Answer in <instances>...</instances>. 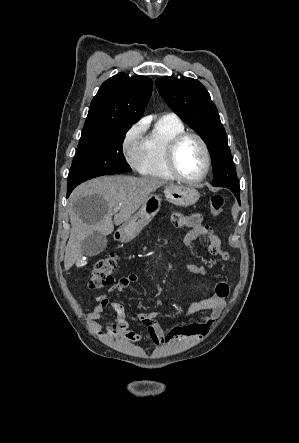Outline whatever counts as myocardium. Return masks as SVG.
<instances>
[{"label":"myocardium","instance_id":"obj_1","mask_svg":"<svg viewBox=\"0 0 299 443\" xmlns=\"http://www.w3.org/2000/svg\"><path fill=\"white\" fill-rule=\"evenodd\" d=\"M188 138H195L201 145L203 152H204V158H205V164H204V170L198 177L195 178H189L184 176L181 171L179 170L178 164H177V152L180 147V145ZM166 163L169 171L171 174L178 180L188 183V184H197L199 182H202L208 175L210 168H211V155L210 150L203 139L202 136L195 132L191 131H184L176 135L171 142L169 143L167 150H166Z\"/></svg>","mask_w":299,"mask_h":443}]
</instances>
